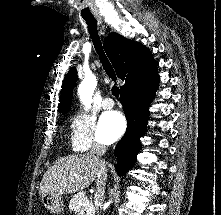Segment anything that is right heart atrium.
I'll use <instances>...</instances> for the list:
<instances>
[{
	"label": "right heart atrium",
	"mask_w": 221,
	"mask_h": 215,
	"mask_svg": "<svg viewBox=\"0 0 221 215\" xmlns=\"http://www.w3.org/2000/svg\"><path fill=\"white\" fill-rule=\"evenodd\" d=\"M105 142L98 132L96 119L93 115L79 112L73 117L71 144L74 150L85 152Z\"/></svg>",
	"instance_id": "d8ad5b80"
}]
</instances>
